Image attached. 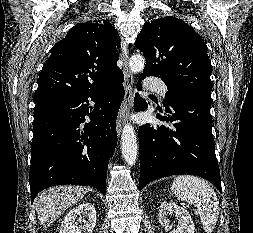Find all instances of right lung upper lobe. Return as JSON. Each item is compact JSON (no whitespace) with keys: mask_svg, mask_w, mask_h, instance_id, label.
<instances>
[{"mask_svg":"<svg viewBox=\"0 0 253 233\" xmlns=\"http://www.w3.org/2000/svg\"><path fill=\"white\" fill-rule=\"evenodd\" d=\"M120 47V37L110 23H78L51 49L37 80L34 102L79 95L113 81L122 72L117 67Z\"/></svg>","mask_w":253,"mask_h":233,"instance_id":"1","label":"right lung upper lobe"}]
</instances>
